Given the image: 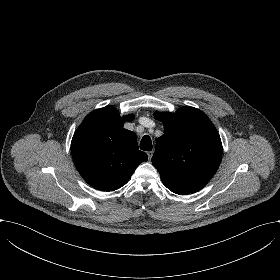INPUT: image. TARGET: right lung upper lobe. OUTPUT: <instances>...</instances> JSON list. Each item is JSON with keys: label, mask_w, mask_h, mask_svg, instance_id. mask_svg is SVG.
I'll list each match as a JSON object with an SVG mask.
<instances>
[{"label": "right lung upper lobe", "mask_w": 280, "mask_h": 280, "mask_svg": "<svg viewBox=\"0 0 280 280\" xmlns=\"http://www.w3.org/2000/svg\"><path fill=\"white\" fill-rule=\"evenodd\" d=\"M113 106L97 109L83 120L74 133L71 154L83 179L102 191H114L127 183L136 167L147 161L137 136L124 129L125 121Z\"/></svg>", "instance_id": "obj_1"}]
</instances>
